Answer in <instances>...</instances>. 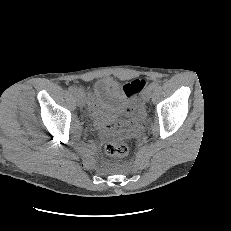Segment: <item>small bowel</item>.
I'll use <instances>...</instances> for the list:
<instances>
[{
  "mask_svg": "<svg viewBox=\"0 0 231 231\" xmlns=\"http://www.w3.org/2000/svg\"><path fill=\"white\" fill-rule=\"evenodd\" d=\"M88 108L94 120V125L99 129L102 138L121 135V131L116 130L113 126L117 122V118L104 112L92 96L88 97ZM130 115H132V110ZM142 120L143 114L135 116L136 125H140Z\"/></svg>",
  "mask_w": 231,
  "mask_h": 231,
  "instance_id": "obj_1",
  "label": "small bowel"
}]
</instances>
